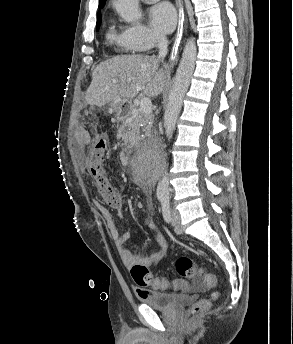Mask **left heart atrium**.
Wrapping results in <instances>:
<instances>
[{"mask_svg":"<svg viewBox=\"0 0 293 344\" xmlns=\"http://www.w3.org/2000/svg\"><path fill=\"white\" fill-rule=\"evenodd\" d=\"M150 26L158 33H170L176 23V14L168 3H161L150 8L148 13Z\"/></svg>","mask_w":293,"mask_h":344,"instance_id":"39dd6f15","label":"left heart atrium"}]
</instances>
